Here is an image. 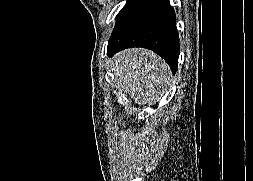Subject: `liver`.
Wrapping results in <instances>:
<instances>
[{
	"mask_svg": "<svg viewBox=\"0 0 253 181\" xmlns=\"http://www.w3.org/2000/svg\"><path fill=\"white\" fill-rule=\"evenodd\" d=\"M113 70L119 87L136 104L159 100L170 84L169 66L154 52L132 48L114 57Z\"/></svg>",
	"mask_w": 253,
	"mask_h": 181,
	"instance_id": "liver-1",
	"label": "liver"
}]
</instances>
